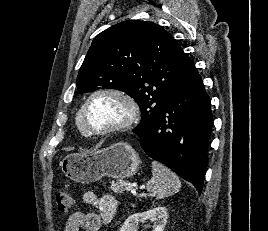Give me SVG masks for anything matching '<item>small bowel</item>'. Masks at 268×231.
<instances>
[{
    "instance_id": "c3829d8e",
    "label": "small bowel",
    "mask_w": 268,
    "mask_h": 231,
    "mask_svg": "<svg viewBox=\"0 0 268 231\" xmlns=\"http://www.w3.org/2000/svg\"><path fill=\"white\" fill-rule=\"evenodd\" d=\"M82 201L85 205L94 207L97 212L71 214L64 231H100L112 220L117 210V200L109 194L98 197L93 191H85L82 194Z\"/></svg>"
}]
</instances>
